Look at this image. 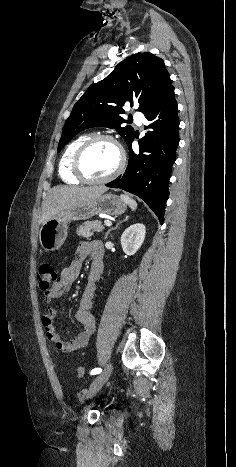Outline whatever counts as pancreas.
<instances>
[{
    "mask_svg": "<svg viewBox=\"0 0 236 467\" xmlns=\"http://www.w3.org/2000/svg\"><path fill=\"white\" fill-rule=\"evenodd\" d=\"M104 230V226L101 221H86L76 230V233L80 237L90 238L93 236L94 232H101Z\"/></svg>",
    "mask_w": 236,
    "mask_h": 467,
    "instance_id": "cf45deb5",
    "label": "pancreas"
}]
</instances>
